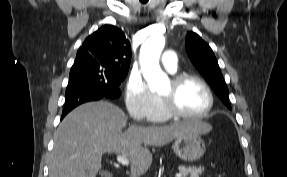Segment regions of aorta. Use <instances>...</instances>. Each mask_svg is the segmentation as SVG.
<instances>
[{"mask_svg": "<svg viewBox=\"0 0 287 177\" xmlns=\"http://www.w3.org/2000/svg\"><path fill=\"white\" fill-rule=\"evenodd\" d=\"M164 46L163 35L154 34L142 44L140 49L141 71L151 91L160 90L168 82L167 75L159 65V58Z\"/></svg>", "mask_w": 287, "mask_h": 177, "instance_id": "obj_1", "label": "aorta"}]
</instances>
